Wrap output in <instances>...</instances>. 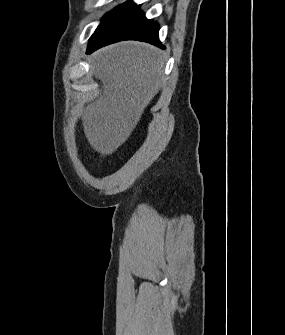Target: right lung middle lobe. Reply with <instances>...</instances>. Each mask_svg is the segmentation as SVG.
<instances>
[{"mask_svg":"<svg viewBox=\"0 0 285 335\" xmlns=\"http://www.w3.org/2000/svg\"><path fill=\"white\" fill-rule=\"evenodd\" d=\"M114 10H115V9H114ZM114 10L108 12V13L105 15V18H106L109 14H111Z\"/></svg>","mask_w":285,"mask_h":335,"instance_id":"dd1d6c3e","label":"right lung middle lobe"}]
</instances>
